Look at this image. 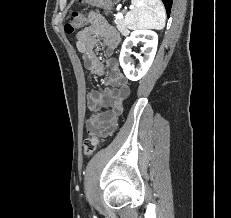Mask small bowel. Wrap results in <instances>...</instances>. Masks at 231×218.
<instances>
[{
  "label": "small bowel",
  "mask_w": 231,
  "mask_h": 218,
  "mask_svg": "<svg viewBox=\"0 0 231 218\" xmlns=\"http://www.w3.org/2000/svg\"><path fill=\"white\" fill-rule=\"evenodd\" d=\"M88 23L86 28L76 34V46L83 55L86 69L94 79L100 77L105 87L87 94V107L92 112L87 129L107 137L118 126L130 89L115 57L120 42L119 33L96 11L88 14ZM99 39L103 41L108 55L106 61L101 60L96 50Z\"/></svg>",
  "instance_id": "c3829d8e"
}]
</instances>
